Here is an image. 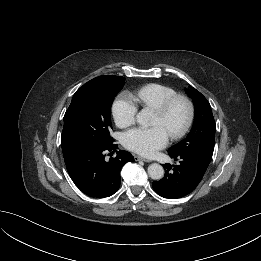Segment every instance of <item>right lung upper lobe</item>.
Wrapping results in <instances>:
<instances>
[{"label": "right lung upper lobe", "instance_id": "cb5924a9", "mask_svg": "<svg viewBox=\"0 0 261 261\" xmlns=\"http://www.w3.org/2000/svg\"><path fill=\"white\" fill-rule=\"evenodd\" d=\"M111 77H112V75H105V76L96 77V78H94V79H92V80L108 79V78H111Z\"/></svg>", "mask_w": 261, "mask_h": 261}]
</instances>
